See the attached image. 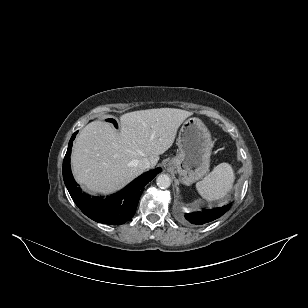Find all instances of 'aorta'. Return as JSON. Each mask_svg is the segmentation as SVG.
Returning <instances> with one entry per match:
<instances>
[{
    "instance_id": "aorta-1",
    "label": "aorta",
    "mask_w": 308,
    "mask_h": 308,
    "mask_svg": "<svg viewBox=\"0 0 308 308\" xmlns=\"http://www.w3.org/2000/svg\"><path fill=\"white\" fill-rule=\"evenodd\" d=\"M157 186L161 189L168 188L171 184V179L167 174H160L156 179Z\"/></svg>"
}]
</instances>
